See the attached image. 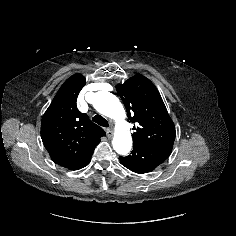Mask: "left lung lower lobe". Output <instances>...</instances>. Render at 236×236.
I'll list each match as a JSON object with an SVG mask.
<instances>
[{
	"mask_svg": "<svg viewBox=\"0 0 236 236\" xmlns=\"http://www.w3.org/2000/svg\"><path fill=\"white\" fill-rule=\"evenodd\" d=\"M172 146H143L134 145L131 155L122 157L120 162L129 170L145 174L155 170L171 154Z\"/></svg>",
	"mask_w": 236,
	"mask_h": 236,
	"instance_id": "0a47b994",
	"label": "left lung lower lobe"
}]
</instances>
